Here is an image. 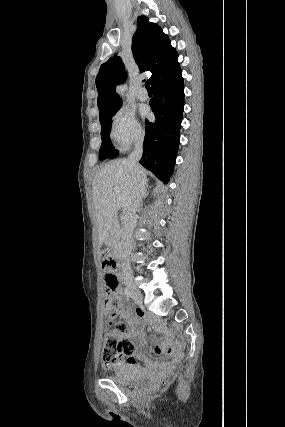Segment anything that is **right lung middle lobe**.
I'll return each instance as SVG.
<instances>
[{
	"instance_id": "obj_1",
	"label": "right lung middle lobe",
	"mask_w": 285,
	"mask_h": 427,
	"mask_svg": "<svg viewBox=\"0 0 285 427\" xmlns=\"http://www.w3.org/2000/svg\"><path fill=\"white\" fill-rule=\"evenodd\" d=\"M114 115V114H113ZM109 116L105 120L101 121V136H102V144L99 151V159L104 160L106 158H114L118 155V151H115L113 148V145L111 143L109 132L111 129V118L112 116Z\"/></svg>"
}]
</instances>
